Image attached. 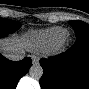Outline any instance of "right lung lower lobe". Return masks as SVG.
I'll list each match as a JSON object with an SVG mask.
<instances>
[{
  "label": "right lung lower lobe",
  "instance_id": "1",
  "mask_svg": "<svg viewBox=\"0 0 89 89\" xmlns=\"http://www.w3.org/2000/svg\"><path fill=\"white\" fill-rule=\"evenodd\" d=\"M31 62V58L28 57H25L21 61H10L0 55L1 89H15L19 79L23 77L32 66Z\"/></svg>",
  "mask_w": 89,
  "mask_h": 89
}]
</instances>
